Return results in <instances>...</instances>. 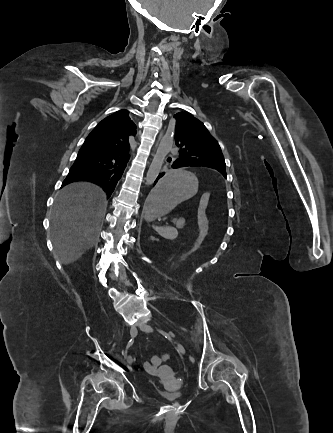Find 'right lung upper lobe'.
Wrapping results in <instances>:
<instances>
[{"label": "right lung upper lobe", "mask_w": 333, "mask_h": 433, "mask_svg": "<svg viewBox=\"0 0 333 433\" xmlns=\"http://www.w3.org/2000/svg\"><path fill=\"white\" fill-rule=\"evenodd\" d=\"M127 110H119L103 119L87 139L99 152L122 150L129 147V136L136 134V125Z\"/></svg>", "instance_id": "1"}]
</instances>
